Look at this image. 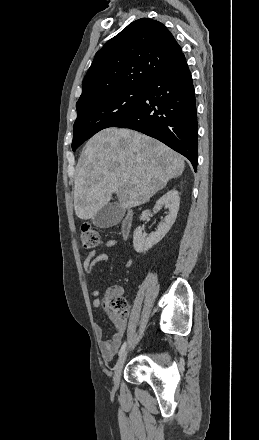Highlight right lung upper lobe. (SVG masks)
<instances>
[{"instance_id": "cb5924a9", "label": "right lung upper lobe", "mask_w": 259, "mask_h": 440, "mask_svg": "<svg viewBox=\"0 0 259 440\" xmlns=\"http://www.w3.org/2000/svg\"><path fill=\"white\" fill-rule=\"evenodd\" d=\"M183 55L161 22L138 19L96 53L84 77L76 108L123 89L148 88Z\"/></svg>"}]
</instances>
